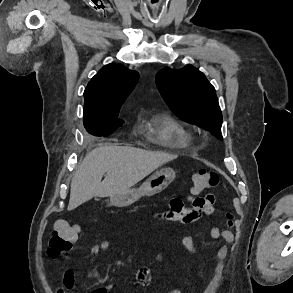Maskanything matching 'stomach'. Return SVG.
I'll list each match as a JSON object with an SVG mask.
<instances>
[{"instance_id":"0dacf381","label":"stomach","mask_w":293,"mask_h":293,"mask_svg":"<svg viewBox=\"0 0 293 293\" xmlns=\"http://www.w3.org/2000/svg\"><path fill=\"white\" fill-rule=\"evenodd\" d=\"M175 171L165 168L151 175L138 189H129L124 193L110 197V203L116 207H126L142 196H152L165 190L174 180Z\"/></svg>"}]
</instances>
